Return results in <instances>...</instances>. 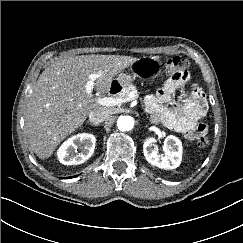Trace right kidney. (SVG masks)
<instances>
[{"label": "right kidney", "mask_w": 243, "mask_h": 243, "mask_svg": "<svg viewBox=\"0 0 243 243\" xmlns=\"http://www.w3.org/2000/svg\"><path fill=\"white\" fill-rule=\"evenodd\" d=\"M95 143L96 138L92 134L82 133L72 136L58 149V159L64 165L84 163L93 155ZM78 149L80 152L77 151Z\"/></svg>", "instance_id": "1"}]
</instances>
